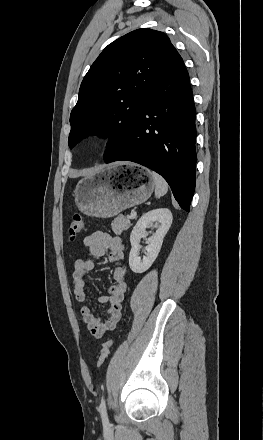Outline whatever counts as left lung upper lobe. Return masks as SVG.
Segmentation results:
<instances>
[{
    "label": "left lung upper lobe",
    "instance_id": "left-lung-upper-lobe-1",
    "mask_svg": "<svg viewBox=\"0 0 263 440\" xmlns=\"http://www.w3.org/2000/svg\"><path fill=\"white\" fill-rule=\"evenodd\" d=\"M174 51L166 34L147 28L109 44L81 83L70 115L69 147L98 134L109 137L104 160L126 151L136 117Z\"/></svg>",
    "mask_w": 263,
    "mask_h": 440
}]
</instances>
